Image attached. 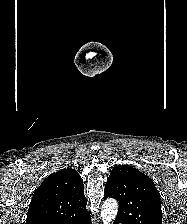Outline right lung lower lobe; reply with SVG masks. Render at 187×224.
<instances>
[{
  "label": "right lung lower lobe",
  "mask_w": 187,
  "mask_h": 224,
  "mask_svg": "<svg viewBox=\"0 0 187 224\" xmlns=\"http://www.w3.org/2000/svg\"><path fill=\"white\" fill-rule=\"evenodd\" d=\"M76 224H91L90 217Z\"/></svg>",
  "instance_id": "right-lung-lower-lobe-1"
}]
</instances>
